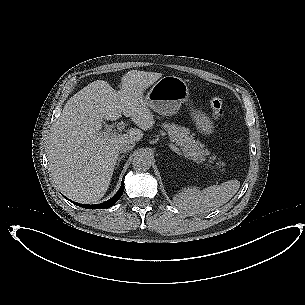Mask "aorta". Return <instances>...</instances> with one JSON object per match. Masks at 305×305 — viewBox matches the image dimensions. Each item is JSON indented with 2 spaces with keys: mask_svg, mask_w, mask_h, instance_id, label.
<instances>
[{
  "mask_svg": "<svg viewBox=\"0 0 305 305\" xmlns=\"http://www.w3.org/2000/svg\"><path fill=\"white\" fill-rule=\"evenodd\" d=\"M151 161L152 156L146 151H141L133 158L132 167L136 171H146L151 167Z\"/></svg>",
  "mask_w": 305,
  "mask_h": 305,
  "instance_id": "aorta-1",
  "label": "aorta"
}]
</instances>
